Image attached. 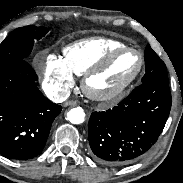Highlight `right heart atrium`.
<instances>
[{"mask_svg":"<svg viewBox=\"0 0 183 183\" xmlns=\"http://www.w3.org/2000/svg\"><path fill=\"white\" fill-rule=\"evenodd\" d=\"M43 85L48 93L54 98L67 96L74 85L72 73L64 64L62 58L49 54L43 58L42 63H36Z\"/></svg>","mask_w":183,"mask_h":183,"instance_id":"obj_1","label":"right heart atrium"}]
</instances>
